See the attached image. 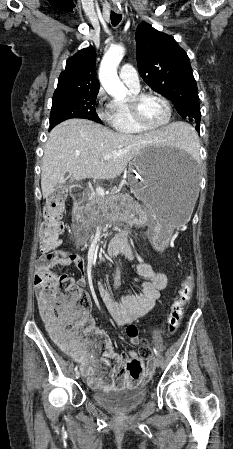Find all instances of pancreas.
<instances>
[{
	"instance_id": "cf45deb5",
	"label": "pancreas",
	"mask_w": 233,
	"mask_h": 449,
	"mask_svg": "<svg viewBox=\"0 0 233 449\" xmlns=\"http://www.w3.org/2000/svg\"><path fill=\"white\" fill-rule=\"evenodd\" d=\"M125 202L128 210V218L132 224L142 227L149 223L150 212L140 205L134 204L129 195L115 194L101 197L93 193L85 206L88 213V219L92 226L102 218L115 217L120 215L121 205L118 202ZM110 211V213H109Z\"/></svg>"
}]
</instances>
